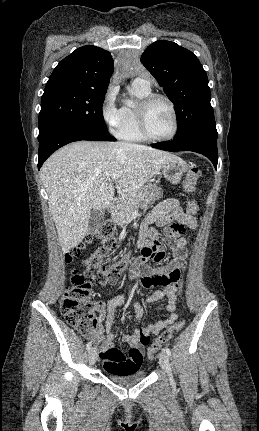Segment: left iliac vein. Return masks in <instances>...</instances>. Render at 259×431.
<instances>
[{"instance_id":"left-iliac-vein-1","label":"left iliac vein","mask_w":259,"mask_h":431,"mask_svg":"<svg viewBox=\"0 0 259 431\" xmlns=\"http://www.w3.org/2000/svg\"><path fill=\"white\" fill-rule=\"evenodd\" d=\"M159 363H160L161 368L167 374L169 380L173 381L172 371H171L170 362H169V357H168V355L166 354L165 351H162L159 354Z\"/></svg>"}]
</instances>
